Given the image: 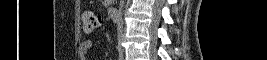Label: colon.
Segmentation results:
<instances>
[{
  "label": "colon",
  "instance_id": "1",
  "mask_svg": "<svg viewBox=\"0 0 267 60\" xmlns=\"http://www.w3.org/2000/svg\"><path fill=\"white\" fill-rule=\"evenodd\" d=\"M82 29L86 33H91L96 30L101 23V18L92 12H85L82 16Z\"/></svg>",
  "mask_w": 267,
  "mask_h": 60
}]
</instances>
